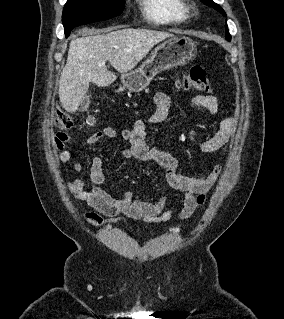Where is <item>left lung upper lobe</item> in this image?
Segmentation results:
<instances>
[{"instance_id":"5c2ea615","label":"left lung upper lobe","mask_w":284,"mask_h":319,"mask_svg":"<svg viewBox=\"0 0 284 319\" xmlns=\"http://www.w3.org/2000/svg\"><path fill=\"white\" fill-rule=\"evenodd\" d=\"M202 2H203L204 4H206V5H208V6H211V7H213L214 9H216V10L219 11L223 16H226L225 11H224L219 5H217L216 3H214L212 0H202ZM225 38H226L227 40H230V39H231V36H230L228 30H226V32H225Z\"/></svg>"}]
</instances>
